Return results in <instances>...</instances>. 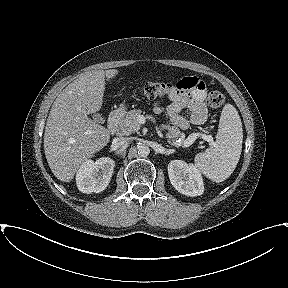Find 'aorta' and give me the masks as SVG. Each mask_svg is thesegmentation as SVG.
<instances>
[{"instance_id": "1", "label": "aorta", "mask_w": 288, "mask_h": 288, "mask_svg": "<svg viewBox=\"0 0 288 288\" xmlns=\"http://www.w3.org/2000/svg\"><path fill=\"white\" fill-rule=\"evenodd\" d=\"M150 153V149L146 145H141L138 147V155L141 157H147Z\"/></svg>"}]
</instances>
